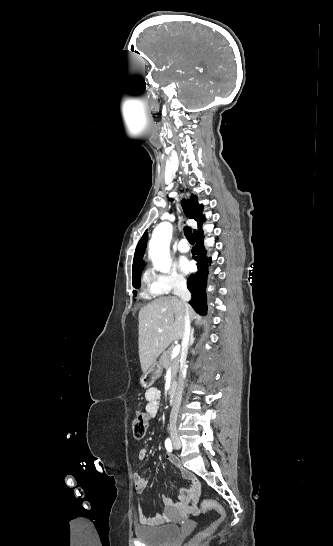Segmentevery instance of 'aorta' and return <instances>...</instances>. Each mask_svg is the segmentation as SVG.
I'll list each match as a JSON object with an SVG mask.
<instances>
[{"label":"aorta","mask_w":333,"mask_h":546,"mask_svg":"<svg viewBox=\"0 0 333 546\" xmlns=\"http://www.w3.org/2000/svg\"><path fill=\"white\" fill-rule=\"evenodd\" d=\"M173 227L169 222L160 223L153 231L149 243V256L153 265L160 272L168 273L171 267L169 259V243Z\"/></svg>","instance_id":"obj_1"}]
</instances>
